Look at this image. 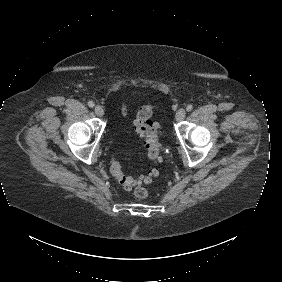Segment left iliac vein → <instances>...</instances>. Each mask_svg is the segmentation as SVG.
<instances>
[{
	"mask_svg": "<svg viewBox=\"0 0 282 282\" xmlns=\"http://www.w3.org/2000/svg\"><path fill=\"white\" fill-rule=\"evenodd\" d=\"M185 116H186V111L183 108L179 109L175 115L177 121H182L185 118Z\"/></svg>",
	"mask_w": 282,
	"mask_h": 282,
	"instance_id": "obj_1",
	"label": "left iliac vein"
}]
</instances>
